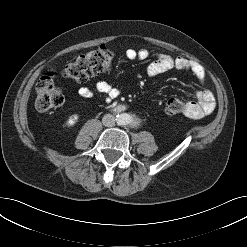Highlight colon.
Wrapping results in <instances>:
<instances>
[{
    "label": "colon",
    "mask_w": 247,
    "mask_h": 247,
    "mask_svg": "<svg viewBox=\"0 0 247 247\" xmlns=\"http://www.w3.org/2000/svg\"><path fill=\"white\" fill-rule=\"evenodd\" d=\"M113 53L107 47H99L79 55L63 69L65 78L76 82H84L90 77L100 74L111 66ZM64 102L62 91L55 85L54 76L48 73L36 84L35 106L39 111L59 107ZM187 110V103L178 99H169L165 105L168 115H177Z\"/></svg>",
    "instance_id": "1"
}]
</instances>
